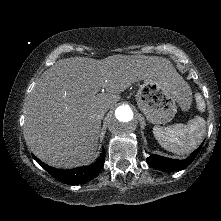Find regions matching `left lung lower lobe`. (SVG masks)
I'll return each instance as SVG.
<instances>
[{
	"label": "left lung lower lobe",
	"instance_id": "1",
	"mask_svg": "<svg viewBox=\"0 0 221 221\" xmlns=\"http://www.w3.org/2000/svg\"><path fill=\"white\" fill-rule=\"evenodd\" d=\"M203 144L200 145L198 149H196L187 159L185 160H176V159H169L166 157L158 156L152 154L147 158V163L158 170L166 171V172H173L179 171L187 166H189L192 161L197 156L198 152L200 151Z\"/></svg>",
	"mask_w": 221,
	"mask_h": 221
}]
</instances>
